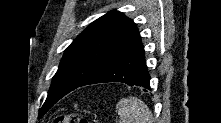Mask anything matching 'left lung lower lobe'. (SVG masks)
Returning <instances> with one entry per match:
<instances>
[{"mask_svg": "<svg viewBox=\"0 0 221 123\" xmlns=\"http://www.w3.org/2000/svg\"><path fill=\"white\" fill-rule=\"evenodd\" d=\"M144 55V47L142 42H139L105 64L80 86L106 82H123L129 86L136 85L150 89V77Z\"/></svg>", "mask_w": 221, "mask_h": 123, "instance_id": "obj_1", "label": "left lung lower lobe"}]
</instances>
